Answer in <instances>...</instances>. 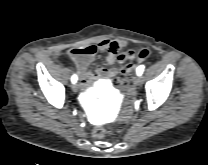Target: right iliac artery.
Instances as JSON below:
<instances>
[{"mask_svg":"<svg viewBox=\"0 0 208 165\" xmlns=\"http://www.w3.org/2000/svg\"><path fill=\"white\" fill-rule=\"evenodd\" d=\"M72 83H76L77 81V76L74 74L71 78Z\"/></svg>","mask_w":208,"mask_h":165,"instance_id":"1","label":"right iliac artery"}]
</instances>
